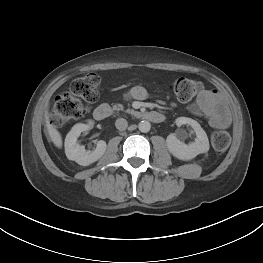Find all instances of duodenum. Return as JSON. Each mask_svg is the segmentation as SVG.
Here are the masks:
<instances>
[{"label":"duodenum","mask_w":263,"mask_h":263,"mask_svg":"<svg viewBox=\"0 0 263 263\" xmlns=\"http://www.w3.org/2000/svg\"><path fill=\"white\" fill-rule=\"evenodd\" d=\"M110 112H111V110H110L109 106L100 105L94 109L93 117L97 121H102L110 115ZM141 117L143 119H146V120L154 122V123H160L165 119V116L158 111L145 112L141 115Z\"/></svg>","instance_id":"1"}]
</instances>
